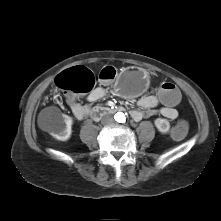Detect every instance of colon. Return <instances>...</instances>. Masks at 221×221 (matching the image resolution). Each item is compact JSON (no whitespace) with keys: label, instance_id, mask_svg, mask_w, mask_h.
<instances>
[{"label":"colon","instance_id":"1","mask_svg":"<svg viewBox=\"0 0 221 221\" xmlns=\"http://www.w3.org/2000/svg\"><path fill=\"white\" fill-rule=\"evenodd\" d=\"M116 77V70L111 66L102 68L98 78L103 82L112 81ZM96 78L91 70L84 66H76L59 74L55 80L56 86L67 93V96H76L91 92L95 86ZM148 92L159 99L163 106L174 108L181 101V94L176 84L172 82L151 83ZM191 125L187 118L182 117L177 125L170 129L169 136L173 140H181L186 137Z\"/></svg>","mask_w":221,"mask_h":221}]
</instances>
